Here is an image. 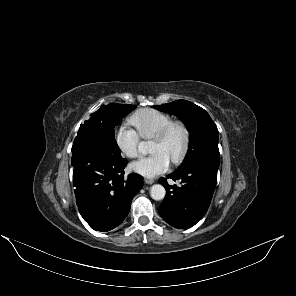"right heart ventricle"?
Here are the masks:
<instances>
[{
	"instance_id": "e07e8e85",
	"label": "right heart ventricle",
	"mask_w": 296,
	"mask_h": 296,
	"mask_svg": "<svg viewBox=\"0 0 296 296\" xmlns=\"http://www.w3.org/2000/svg\"><path fill=\"white\" fill-rule=\"evenodd\" d=\"M172 117L155 109H142L131 118V124L143 139H153L169 122Z\"/></svg>"
}]
</instances>
